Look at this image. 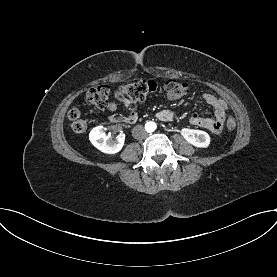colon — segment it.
<instances>
[{"label":"colon","instance_id":"1","mask_svg":"<svg viewBox=\"0 0 277 277\" xmlns=\"http://www.w3.org/2000/svg\"><path fill=\"white\" fill-rule=\"evenodd\" d=\"M157 91H163L170 100H178L189 91V85L186 82L176 79H169L163 84L153 80H138L123 84L118 92L133 103L142 102ZM112 95V89L108 85H99L93 87L86 93L85 100L98 108H105ZM68 119L72 121L71 128L75 133H84L88 128L86 120L81 119V111L78 107H72L68 111ZM227 127L232 130L235 127V120L231 113L226 117Z\"/></svg>","mask_w":277,"mask_h":277}]
</instances>
